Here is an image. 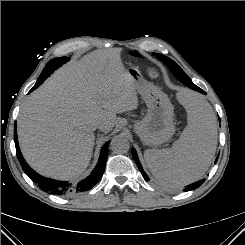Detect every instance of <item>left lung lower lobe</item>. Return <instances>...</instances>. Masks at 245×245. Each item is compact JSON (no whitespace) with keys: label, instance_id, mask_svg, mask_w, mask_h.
I'll return each mask as SVG.
<instances>
[{"label":"left lung lower lobe","instance_id":"0a47b994","mask_svg":"<svg viewBox=\"0 0 245 245\" xmlns=\"http://www.w3.org/2000/svg\"><path fill=\"white\" fill-rule=\"evenodd\" d=\"M177 78H178L183 84H185L186 86H188L189 88H191V89H193V90H196V91H198V92H201V93H204V94H205V92H204L201 88H199L198 86H196L194 83H188V82L185 81L181 76H178ZM132 156H133V158H134V160H135V162H136V164H137V166H138V168H139V170H140V172H141L143 178H144L146 181H148V180H149V177H148V176L146 175V173L144 172V170H143V168H142V166H141V164H140V162H139V159H138L136 150H135L134 148L132 149ZM217 159H218V157H217ZM217 159H216V161H217ZM216 161H215V163H216ZM204 181H205V179H202V180H200V181H197V182H195V183H192V184L188 185V186L184 189V191L186 192V191L194 190V189L198 188L199 186H201L202 183H203Z\"/></svg>","mask_w":245,"mask_h":245}]
</instances>
